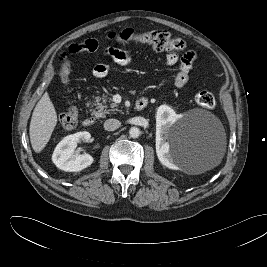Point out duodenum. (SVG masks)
<instances>
[{
  "label": "duodenum",
  "mask_w": 267,
  "mask_h": 267,
  "mask_svg": "<svg viewBox=\"0 0 267 267\" xmlns=\"http://www.w3.org/2000/svg\"><path fill=\"white\" fill-rule=\"evenodd\" d=\"M147 105H148V99L146 97H141L137 99L135 103V108L136 110L140 111V110H143ZM95 122H96V119L93 116H88L83 119V125L85 127L92 126L95 124Z\"/></svg>",
  "instance_id": "410a0bca"
}]
</instances>
